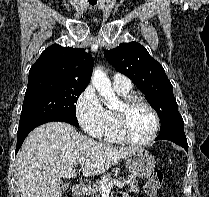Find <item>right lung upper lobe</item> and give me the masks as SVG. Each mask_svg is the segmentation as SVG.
I'll return each instance as SVG.
<instances>
[{"label":"right lung upper lobe","mask_w":209,"mask_h":197,"mask_svg":"<svg viewBox=\"0 0 209 197\" xmlns=\"http://www.w3.org/2000/svg\"><path fill=\"white\" fill-rule=\"evenodd\" d=\"M94 61L83 49L62 47L58 44L45 49L29 71L28 82L58 81L87 86Z\"/></svg>","instance_id":"obj_1"}]
</instances>
